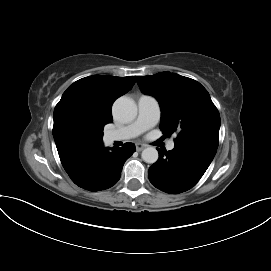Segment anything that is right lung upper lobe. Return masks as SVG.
Masks as SVG:
<instances>
[{
	"label": "right lung upper lobe",
	"instance_id": "right-lung-upper-lobe-1",
	"mask_svg": "<svg viewBox=\"0 0 271 271\" xmlns=\"http://www.w3.org/2000/svg\"><path fill=\"white\" fill-rule=\"evenodd\" d=\"M135 80V76L93 75L74 82L64 92L54 109L53 136L66 172L103 148L99 129L113 121V102L127 93Z\"/></svg>",
	"mask_w": 271,
	"mask_h": 271
}]
</instances>
